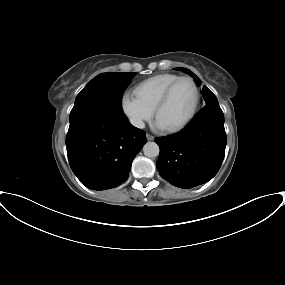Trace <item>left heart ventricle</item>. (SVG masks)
Returning <instances> with one entry per match:
<instances>
[{
  "label": "left heart ventricle",
  "mask_w": 285,
  "mask_h": 285,
  "mask_svg": "<svg viewBox=\"0 0 285 285\" xmlns=\"http://www.w3.org/2000/svg\"><path fill=\"white\" fill-rule=\"evenodd\" d=\"M195 100L192 84L183 80L174 88L168 102L162 107L157 119L166 127L182 122L191 112Z\"/></svg>",
  "instance_id": "1"
}]
</instances>
